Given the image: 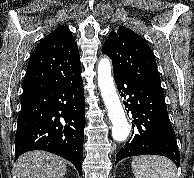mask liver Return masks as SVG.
<instances>
[{
  "label": "liver",
  "mask_w": 194,
  "mask_h": 178,
  "mask_svg": "<svg viewBox=\"0 0 194 178\" xmlns=\"http://www.w3.org/2000/svg\"><path fill=\"white\" fill-rule=\"evenodd\" d=\"M67 161L45 151H30L21 155L15 164L17 178H63Z\"/></svg>",
  "instance_id": "6515ba94"
}]
</instances>
